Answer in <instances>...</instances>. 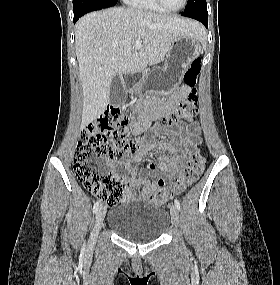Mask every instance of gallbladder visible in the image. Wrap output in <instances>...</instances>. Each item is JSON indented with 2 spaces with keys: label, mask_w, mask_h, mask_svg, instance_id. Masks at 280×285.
I'll return each instance as SVG.
<instances>
[{
  "label": "gallbladder",
  "mask_w": 280,
  "mask_h": 285,
  "mask_svg": "<svg viewBox=\"0 0 280 285\" xmlns=\"http://www.w3.org/2000/svg\"><path fill=\"white\" fill-rule=\"evenodd\" d=\"M110 104L113 106L122 105L126 102L127 92L119 75H116L110 87Z\"/></svg>",
  "instance_id": "1"
}]
</instances>
